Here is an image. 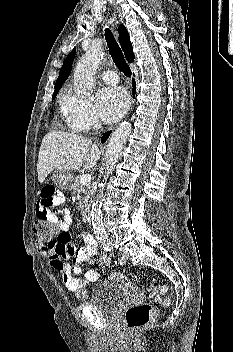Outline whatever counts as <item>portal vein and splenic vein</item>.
Segmentation results:
<instances>
[{"mask_svg": "<svg viewBox=\"0 0 233 352\" xmlns=\"http://www.w3.org/2000/svg\"><path fill=\"white\" fill-rule=\"evenodd\" d=\"M91 181V175L90 174H83L80 176V183L82 185H85Z\"/></svg>", "mask_w": 233, "mask_h": 352, "instance_id": "1", "label": "portal vein and splenic vein"}]
</instances>
